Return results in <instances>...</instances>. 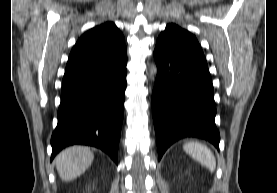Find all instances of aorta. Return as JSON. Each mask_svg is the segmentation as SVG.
Segmentation results:
<instances>
[{
	"mask_svg": "<svg viewBox=\"0 0 277 193\" xmlns=\"http://www.w3.org/2000/svg\"><path fill=\"white\" fill-rule=\"evenodd\" d=\"M157 69L155 66L151 68V75H154L156 73Z\"/></svg>",
	"mask_w": 277,
	"mask_h": 193,
	"instance_id": "762f6f07",
	"label": "aorta"
}]
</instances>
